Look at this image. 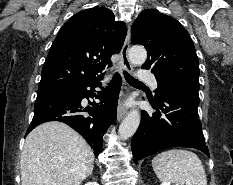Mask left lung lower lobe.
I'll list each match as a JSON object with an SVG mask.
<instances>
[{
  "mask_svg": "<svg viewBox=\"0 0 233 185\" xmlns=\"http://www.w3.org/2000/svg\"><path fill=\"white\" fill-rule=\"evenodd\" d=\"M199 86L177 84L166 88L155 102L157 113L142 111V121L131 141L135 163L170 147H191L209 156L197 107Z\"/></svg>",
  "mask_w": 233,
  "mask_h": 185,
  "instance_id": "0a47b994",
  "label": "left lung lower lobe"
}]
</instances>
